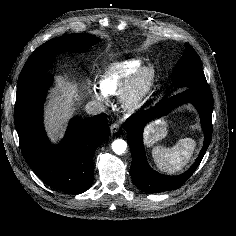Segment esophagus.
<instances>
[{"label": "esophagus", "instance_id": "34e87169", "mask_svg": "<svg viewBox=\"0 0 236 236\" xmlns=\"http://www.w3.org/2000/svg\"><path fill=\"white\" fill-rule=\"evenodd\" d=\"M119 128H120V126L117 123H113L110 126V131H111V133H116L119 130Z\"/></svg>", "mask_w": 236, "mask_h": 236}]
</instances>
